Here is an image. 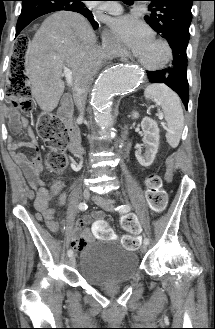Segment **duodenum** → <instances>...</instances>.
I'll return each instance as SVG.
<instances>
[{
  "label": "duodenum",
  "mask_w": 215,
  "mask_h": 329,
  "mask_svg": "<svg viewBox=\"0 0 215 329\" xmlns=\"http://www.w3.org/2000/svg\"><path fill=\"white\" fill-rule=\"evenodd\" d=\"M58 114L69 131L68 150L73 155L82 154L83 148L81 145V139L78 132L74 129L73 126V103L72 98L69 95L63 96L59 106Z\"/></svg>",
  "instance_id": "obj_1"
}]
</instances>
